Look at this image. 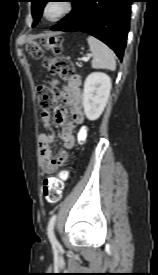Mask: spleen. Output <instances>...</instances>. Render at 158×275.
Instances as JSON below:
<instances>
[{"instance_id":"spleen-1","label":"spleen","mask_w":158,"mask_h":275,"mask_svg":"<svg viewBox=\"0 0 158 275\" xmlns=\"http://www.w3.org/2000/svg\"><path fill=\"white\" fill-rule=\"evenodd\" d=\"M88 44L93 56L92 67L95 69H116L114 52L103 42L93 36L87 37Z\"/></svg>"}]
</instances>
